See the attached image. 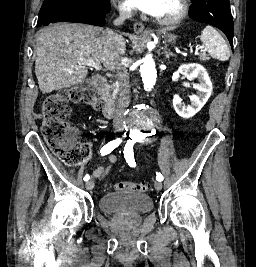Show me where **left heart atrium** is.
Segmentation results:
<instances>
[{"mask_svg": "<svg viewBox=\"0 0 256 267\" xmlns=\"http://www.w3.org/2000/svg\"><path fill=\"white\" fill-rule=\"evenodd\" d=\"M170 6V0H143L142 9L144 12L156 17L160 22L166 10Z\"/></svg>", "mask_w": 256, "mask_h": 267, "instance_id": "1", "label": "left heart atrium"}]
</instances>
